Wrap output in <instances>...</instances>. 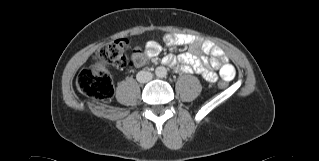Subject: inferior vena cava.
Masks as SVG:
<instances>
[{"label": "inferior vena cava", "instance_id": "1", "mask_svg": "<svg viewBox=\"0 0 319 161\" xmlns=\"http://www.w3.org/2000/svg\"><path fill=\"white\" fill-rule=\"evenodd\" d=\"M152 77H153L152 73L148 71H140L136 75V79L140 83L149 82L150 80H152Z\"/></svg>", "mask_w": 319, "mask_h": 161}]
</instances>
